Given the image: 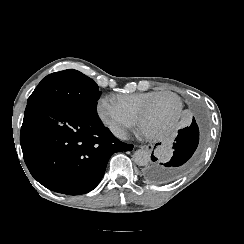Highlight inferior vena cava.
I'll use <instances>...</instances> for the list:
<instances>
[{
    "mask_svg": "<svg viewBox=\"0 0 244 244\" xmlns=\"http://www.w3.org/2000/svg\"><path fill=\"white\" fill-rule=\"evenodd\" d=\"M113 134L121 140H126V132L120 128L113 130Z\"/></svg>",
    "mask_w": 244,
    "mask_h": 244,
    "instance_id": "inferior-vena-cava-1",
    "label": "inferior vena cava"
}]
</instances>
